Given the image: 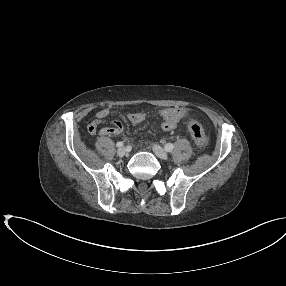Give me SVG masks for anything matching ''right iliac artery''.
Instances as JSON below:
<instances>
[{"label": "right iliac artery", "instance_id": "82829eb1", "mask_svg": "<svg viewBox=\"0 0 286 286\" xmlns=\"http://www.w3.org/2000/svg\"><path fill=\"white\" fill-rule=\"evenodd\" d=\"M124 145V143L122 141L117 142L116 146L117 147H122Z\"/></svg>", "mask_w": 286, "mask_h": 286}]
</instances>
